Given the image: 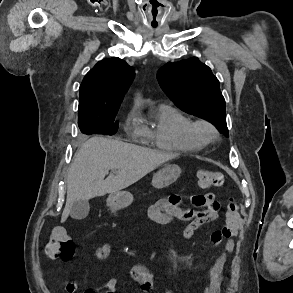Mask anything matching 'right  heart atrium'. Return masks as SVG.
I'll list each match as a JSON object with an SVG mask.
<instances>
[{
	"label": "right heart atrium",
	"instance_id": "right-heart-atrium-1",
	"mask_svg": "<svg viewBox=\"0 0 293 293\" xmlns=\"http://www.w3.org/2000/svg\"><path fill=\"white\" fill-rule=\"evenodd\" d=\"M138 120V114L135 110L129 112V114L126 117V126L128 128L135 127Z\"/></svg>",
	"mask_w": 293,
	"mask_h": 293
}]
</instances>
